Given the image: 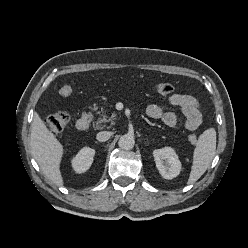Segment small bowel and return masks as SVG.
<instances>
[{"instance_id":"c3829d8e","label":"small bowel","mask_w":248,"mask_h":248,"mask_svg":"<svg viewBox=\"0 0 248 248\" xmlns=\"http://www.w3.org/2000/svg\"><path fill=\"white\" fill-rule=\"evenodd\" d=\"M168 103L179 107L185 117V127L188 130H196L202 123V114L199 101L187 94H173L169 96ZM146 115L153 119H160L166 126L174 127L179 122L176 113L167 111L158 105H149L146 109Z\"/></svg>"}]
</instances>
